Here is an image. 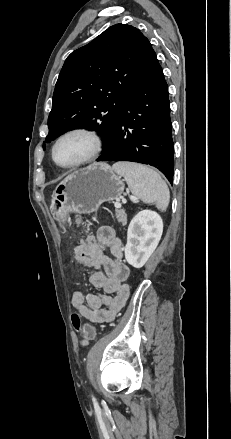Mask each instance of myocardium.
<instances>
[{
    "label": "myocardium",
    "mask_w": 231,
    "mask_h": 439,
    "mask_svg": "<svg viewBox=\"0 0 231 439\" xmlns=\"http://www.w3.org/2000/svg\"><path fill=\"white\" fill-rule=\"evenodd\" d=\"M74 134H83V135L88 136L93 142V149L89 155H87L86 157H84L83 159H81L77 162H74V163L68 164V165L61 164L58 162V160L56 158V148L61 140H63L67 136L74 135ZM103 148H104V140L98 131H96L95 129H92V128H88V127H74V128L66 130L65 132H63L62 134H60L57 137V139L55 140V142L52 146L51 155H52L53 161L55 162V164L57 166H59L61 168L70 169V168H76L78 166H81L83 164H86V163L94 160L102 153Z\"/></svg>",
    "instance_id": "1"
}]
</instances>
